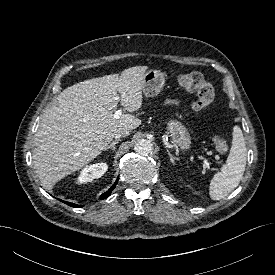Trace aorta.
I'll use <instances>...</instances> for the list:
<instances>
[{"label":"aorta","mask_w":275,"mask_h":275,"mask_svg":"<svg viewBox=\"0 0 275 275\" xmlns=\"http://www.w3.org/2000/svg\"><path fill=\"white\" fill-rule=\"evenodd\" d=\"M134 150L141 156H148L153 151V144L149 140L142 139L134 145Z\"/></svg>","instance_id":"obj_1"}]
</instances>
